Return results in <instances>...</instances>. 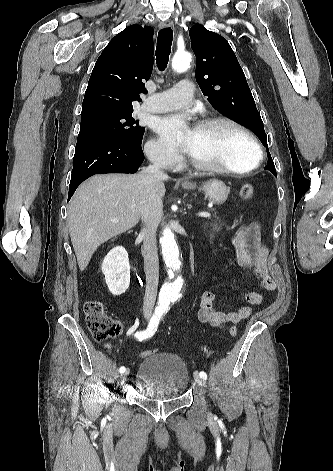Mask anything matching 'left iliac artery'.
<instances>
[{"label": "left iliac artery", "mask_w": 333, "mask_h": 471, "mask_svg": "<svg viewBox=\"0 0 333 471\" xmlns=\"http://www.w3.org/2000/svg\"><path fill=\"white\" fill-rule=\"evenodd\" d=\"M199 376H200L202 379H205V380L207 379V374H206L204 371H201V372L199 373Z\"/></svg>", "instance_id": "44dca946"}]
</instances>
